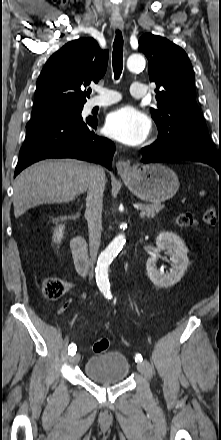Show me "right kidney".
<instances>
[{"mask_svg":"<svg viewBox=\"0 0 221 440\" xmlns=\"http://www.w3.org/2000/svg\"><path fill=\"white\" fill-rule=\"evenodd\" d=\"M64 229H65L64 225H60L58 228L55 229L53 236L54 242L56 243L61 242V239L63 238Z\"/></svg>","mask_w":221,"mask_h":440,"instance_id":"ca27d5eb","label":"right kidney"}]
</instances>
